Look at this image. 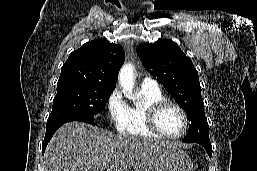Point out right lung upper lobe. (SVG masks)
<instances>
[{
  "label": "right lung upper lobe",
  "mask_w": 257,
  "mask_h": 171,
  "mask_svg": "<svg viewBox=\"0 0 257 171\" xmlns=\"http://www.w3.org/2000/svg\"><path fill=\"white\" fill-rule=\"evenodd\" d=\"M125 53L105 39L87 42L70 53L61 68L57 87L82 84L115 89Z\"/></svg>",
  "instance_id": "obj_1"
}]
</instances>
